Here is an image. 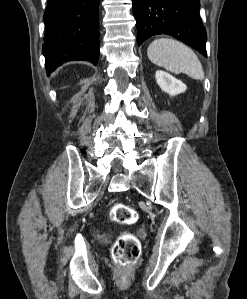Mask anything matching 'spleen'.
I'll list each match as a JSON object with an SVG mask.
<instances>
[{
  "mask_svg": "<svg viewBox=\"0 0 247 299\" xmlns=\"http://www.w3.org/2000/svg\"><path fill=\"white\" fill-rule=\"evenodd\" d=\"M147 55L152 63L172 73H185L193 79H204L203 67L197 55L179 41L156 39L149 45Z\"/></svg>",
  "mask_w": 247,
  "mask_h": 299,
  "instance_id": "spleen-1",
  "label": "spleen"
}]
</instances>
